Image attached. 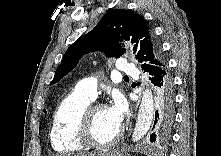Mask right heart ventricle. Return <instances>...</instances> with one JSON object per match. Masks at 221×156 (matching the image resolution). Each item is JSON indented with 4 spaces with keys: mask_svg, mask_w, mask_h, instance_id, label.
I'll return each mask as SVG.
<instances>
[{
    "mask_svg": "<svg viewBox=\"0 0 221 156\" xmlns=\"http://www.w3.org/2000/svg\"><path fill=\"white\" fill-rule=\"evenodd\" d=\"M91 101L75 89L60 102L50 128V142L56 152L70 154L83 149L84 146L76 138V127L82 111Z\"/></svg>",
    "mask_w": 221,
    "mask_h": 156,
    "instance_id": "obj_1",
    "label": "right heart ventricle"
}]
</instances>
